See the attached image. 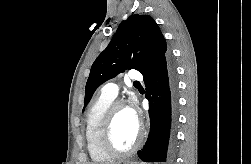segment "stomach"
Segmentation results:
<instances>
[{
  "label": "stomach",
  "mask_w": 251,
  "mask_h": 164,
  "mask_svg": "<svg viewBox=\"0 0 251 164\" xmlns=\"http://www.w3.org/2000/svg\"><path fill=\"white\" fill-rule=\"evenodd\" d=\"M125 164H138V163H136V162H131V163H125Z\"/></svg>",
  "instance_id": "obj_1"
}]
</instances>
